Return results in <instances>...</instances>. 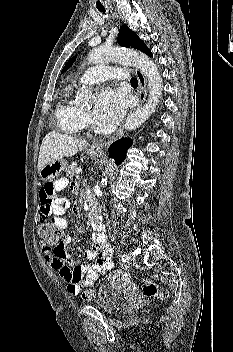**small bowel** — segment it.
Instances as JSON below:
<instances>
[{
	"label": "small bowel",
	"instance_id": "obj_1",
	"mask_svg": "<svg viewBox=\"0 0 233 352\" xmlns=\"http://www.w3.org/2000/svg\"><path fill=\"white\" fill-rule=\"evenodd\" d=\"M67 185L65 178H60L54 182H46L40 189L39 199V219L40 222H47L60 228L62 231L68 226V221L63 217L69 202L59 196V192ZM72 212L77 214L78 211L73 207ZM91 226L94 230L91 246L85 252L88 260H94L93 264L77 265L68 259L65 252L67 244L75 240L67 235L63 242L57 244L54 248L43 245L42 251L44 258L49 265L57 270L60 276L67 283V290L70 294L76 295L82 287H90L105 272L113 267L112 252L106 243L104 227L98 221H92Z\"/></svg>",
	"mask_w": 233,
	"mask_h": 352
}]
</instances>
